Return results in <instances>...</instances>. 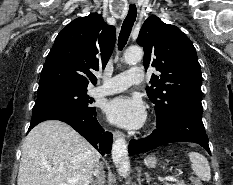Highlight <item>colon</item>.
<instances>
[{
    "label": "colon",
    "mask_w": 233,
    "mask_h": 185,
    "mask_svg": "<svg viewBox=\"0 0 233 185\" xmlns=\"http://www.w3.org/2000/svg\"><path fill=\"white\" fill-rule=\"evenodd\" d=\"M192 185H202V183L199 180L195 179Z\"/></svg>",
    "instance_id": "colon-1"
}]
</instances>
